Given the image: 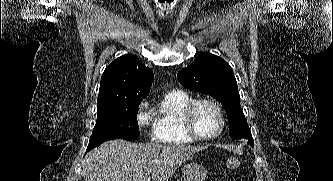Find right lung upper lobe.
<instances>
[{"mask_svg": "<svg viewBox=\"0 0 333 181\" xmlns=\"http://www.w3.org/2000/svg\"><path fill=\"white\" fill-rule=\"evenodd\" d=\"M153 82V73L136 56L123 55L103 72L97 109L142 101Z\"/></svg>", "mask_w": 333, "mask_h": 181, "instance_id": "right-lung-upper-lobe-1", "label": "right lung upper lobe"}]
</instances>
